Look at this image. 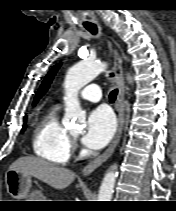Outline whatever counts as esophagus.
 <instances>
[{"label":"esophagus","instance_id":"esophagus-1","mask_svg":"<svg viewBox=\"0 0 176 211\" xmlns=\"http://www.w3.org/2000/svg\"><path fill=\"white\" fill-rule=\"evenodd\" d=\"M113 57H114V67L116 72V81L118 85V95H117V101H116V109L118 112V128L117 132L110 143L109 147L97 158L92 160L84 169L82 170V174L84 176L90 175L95 169H97L99 166H101L107 159L111 157L113 154L116 146L118 145L120 138L122 136L123 128H124V122H125V104H124V98H125V82H124V76H123V60L122 56L118 50L117 45L114 47L113 50Z\"/></svg>","mask_w":176,"mask_h":211}]
</instances>
